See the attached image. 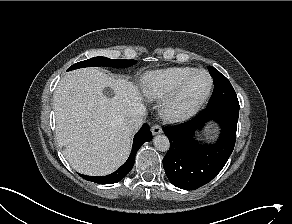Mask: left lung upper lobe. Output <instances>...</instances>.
Instances as JSON below:
<instances>
[{
  "mask_svg": "<svg viewBox=\"0 0 292 224\" xmlns=\"http://www.w3.org/2000/svg\"><path fill=\"white\" fill-rule=\"evenodd\" d=\"M208 70L214 81V91L207 106L237 97L231 83L224 75L212 66H209Z\"/></svg>",
  "mask_w": 292,
  "mask_h": 224,
  "instance_id": "left-lung-upper-lobe-1",
  "label": "left lung upper lobe"
}]
</instances>
